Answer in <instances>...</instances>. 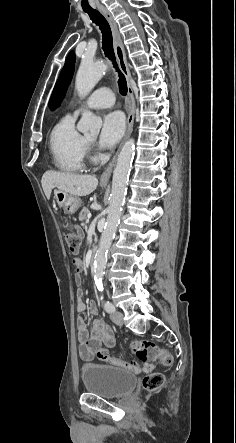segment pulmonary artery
<instances>
[{"label": "pulmonary artery", "instance_id": "e3ab8cb5", "mask_svg": "<svg viewBox=\"0 0 236 443\" xmlns=\"http://www.w3.org/2000/svg\"><path fill=\"white\" fill-rule=\"evenodd\" d=\"M115 102V96L111 89L103 87L95 90L86 100V106L89 108H106ZM78 113V111H76Z\"/></svg>", "mask_w": 236, "mask_h": 443}]
</instances>
